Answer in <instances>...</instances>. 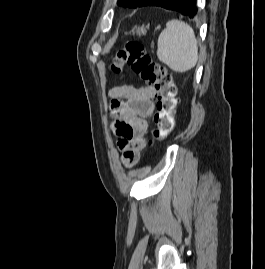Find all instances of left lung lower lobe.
<instances>
[{
	"label": "left lung lower lobe",
	"mask_w": 265,
	"mask_h": 269,
	"mask_svg": "<svg viewBox=\"0 0 265 269\" xmlns=\"http://www.w3.org/2000/svg\"><path fill=\"white\" fill-rule=\"evenodd\" d=\"M159 6L193 18L197 14L196 0H144L138 7Z\"/></svg>",
	"instance_id": "obj_1"
}]
</instances>
